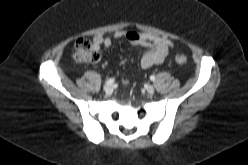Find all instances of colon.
Returning <instances> with one entry per match:
<instances>
[{"instance_id": "5ec220e1", "label": "colon", "mask_w": 248, "mask_h": 165, "mask_svg": "<svg viewBox=\"0 0 248 165\" xmlns=\"http://www.w3.org/2000/svg\"><path fill=\"white\" fill-rule=\"evenodd\" d=\"M73 58L79 64H93L99 60L100 53L90 40L82 38L75 43ZM175 60L179 64H184L187 62V57L183 54H178Z\"/></svg>"}]
</instances>
